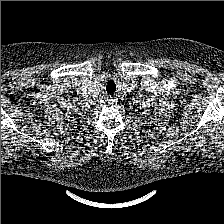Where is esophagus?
Listing matches in <instances>:
<instances>
[{
    "label": "esophagus",
    "instance_id": "obj_1",
    "mask_svg": "<svg viewBox=\"0 0 224 224\" xmlns=\"http://www.w3.org/2000/svg\"><path fill=\"white\" fill-rule=\"evenodd\" d=\"M109 101H110L111 103H113V102L115 101V99H110Z\"/></svg>",
    "mask_w": 224,
    "mask_h": 224
}]
</instances>
